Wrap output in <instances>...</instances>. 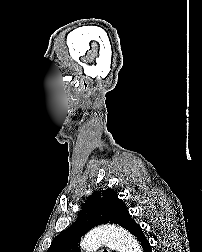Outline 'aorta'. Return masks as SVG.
Returning a JSON list of instances; mask_svg holds the SVG:
<instances>
[{"mask_svg": "<svg viewBox=\"0 0 202 252\" xmlns=\"http://www.w3.org/2000/svg\"><path fill=\"white\" fill-rule=\"evenodd\" d=\"M102 243L119 252H142L137 240L125 229L120 227H104L90 232L81 242L85 252L96 251Z\"/></svg>", "mask_w": 202, "mask_h": 252, "instance_id": "obj_1", "label": "aorta"}]
</instances>
